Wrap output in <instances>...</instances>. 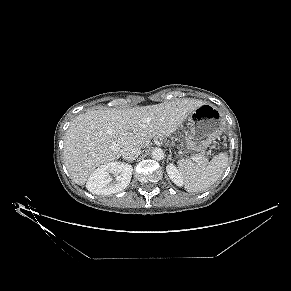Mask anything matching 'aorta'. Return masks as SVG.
<instances>
[{
	"label": "aorta",
	"mask_w": 291,
	"mask_h": 291,
	"mask_svg": "<svg viewBox=\"0 0 291 291\" xmlns=\"http://www.w3.org/2000/svg\"><path fill=\"white\" fill-rule=\"evenodd\" d=\"M164 151L161 149V148H154L152 149V152H151V157L152 159L156 160V161H161L164 159Z\"/></svg>",
	"instance_id": "aorta-1"
}]
</instances>
